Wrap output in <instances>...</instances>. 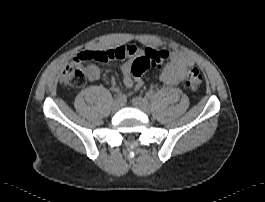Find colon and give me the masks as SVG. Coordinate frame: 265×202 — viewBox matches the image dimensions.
I'll use <instances>...</instances> for the list:
<instances>
[{
  "label": "colon",
  "instance_id": "obj_1",
  "mask_svg": "<svg viewBox=\"0 0 265 202\" xmlns=\"http://www.w3.org/2000/svg\"><path fill=\"white\" fill-rule=\"evenodd\" d=\"M81 63L89 61L107 62L121 60L125 57L121 50L109 49L105 52L84 50L80 52ZM169 59L166 51L154 52L148 50L143 56L136 57L131 65V72L134 76H141L154 67H160ZM61 82L70 87H82L86 83V75L81 66H68L64 71ZM203 77L196 67H191L187 71L185 86L190 91H197L202 85Z\"/></svg>",
  "mask_w": 265,
  "mask_h": 202
}]
</instances>
